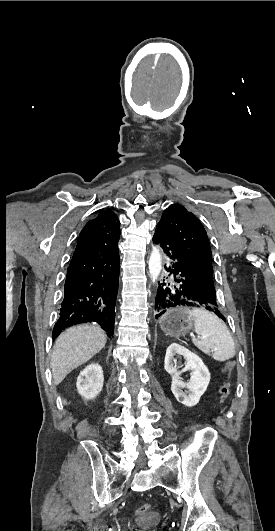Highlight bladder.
Listing matches in <instances>:
<instances>
[{
  "label": "bladder",
  "mask_w": 275,
  "mask_h": 531,
  "mask_svg": "<svg viewBox=\"0 0 275 531\" xmlns=\"http://www.w3.org/2000/svg\"><path fill=\"white\" fill-rule=\"evenodd\" d=\"M139 522L142 523L141 531H152L153 526L158 525L161 521V514L159 512L139 513Z\"/></svg>",
  "instance_id": "31cf9c89"
}]
</instances>
